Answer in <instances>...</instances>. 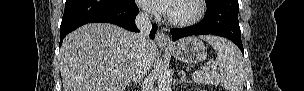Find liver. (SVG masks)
<instances>
[{"instance_id":"liver-1","label":"liver","mask_w":304,"mask_h":91,"mask_svg":"<svg viewBox=\"0 0 304 91\" xmlns=\"http://www.w3.org/2000/svg\"><path fill=\"white\" fill-rule=\"evenodd\" d=\"M150 42L148 59H156ZM64 91H123L135 76L134 34L113 24H86L68 34L60 49Z\"/></svg>"}]
</instances>
